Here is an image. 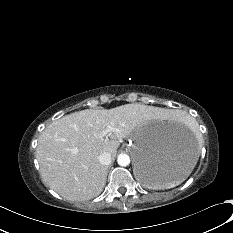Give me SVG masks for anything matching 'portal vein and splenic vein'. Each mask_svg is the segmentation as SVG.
I'll use <instances>...</instances> for the list:
<instances>
[{"mask_svg": "<svg viewBox=\"0 0 233 233\" xmlns=\"http://www.w3.org/2000/svg\"><path fill=\"white\" fill-rule=\"evenodd\" d=\"M112 131H114V129L111 126H107V128L104 131L98 134V137L100 138L105 137L107 134L111 133Z\"/></svg>", "mask_w": 233, "mask_h": 233, "instance_id": "portal-vein-and-splenic-vein-1", "label": "portal vein and splenic vein"}]
</instances>
